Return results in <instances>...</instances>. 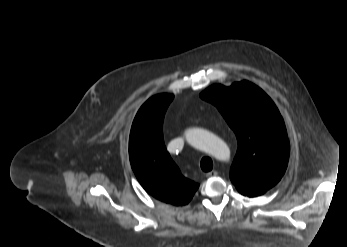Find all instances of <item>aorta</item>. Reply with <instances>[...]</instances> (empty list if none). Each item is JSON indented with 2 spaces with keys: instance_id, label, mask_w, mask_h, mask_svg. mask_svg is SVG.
I'll return each mask as SVG.
<instances>
[{
  "instance_id": "obj_1",
  "label": "aorta",
  "mask_w": 347,
  "mask_h": 247,
  "mask_svg": "<svg viewBox=\"0 0 347 247\" xmlns=\"http://www.w3.org/2000/svg\"><path fill=\"white\" fill-rule=\"evenodd\" d=\"M185 139L193 147L224 160L230 155L228 145L214 134L201 129L190 128L185 132Z\"/></svg>"
}]
</instances>
